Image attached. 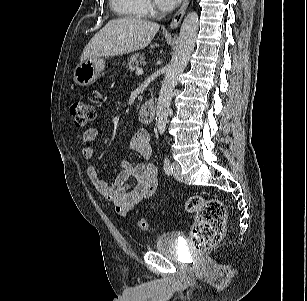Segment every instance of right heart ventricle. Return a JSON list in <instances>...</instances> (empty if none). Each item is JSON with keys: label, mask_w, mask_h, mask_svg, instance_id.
<instances>
[{"label": "right heart ventricle", "mask_w": 307, "mask_h": 301, "mask_svg": "<svg viewBox=\"0 0 307 301\" xmlns=\"http://www.w3.org/2000/svg\"><path fill=\"white\" fill-rule=\"evenodd\" d=\"M112 9L128 18L144 19L147 17L146 0H111Z\"/></svg>", "instance_id": "obj_1"}]
</instances>
